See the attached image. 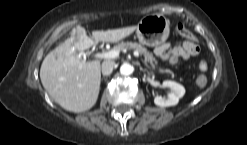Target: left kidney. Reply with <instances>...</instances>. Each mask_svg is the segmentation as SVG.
Segmentation results:
<instances>
[{
    "label": "left kidney",
    "instance_id": "5707ae66",
    "mask_svg": "<svg viewBox=\"0 0 247 145\" xmlns=\"http://www.w3.org/2000/svg\"><path fill=\"white\" fill-rule=\"evenodd\" d=\"M162 85L164 87L170 88L171 92L168 94L167 98L156 96L154 98V103L160 107L177 105L179 99L182 98L185 94V88L181 84L170 80L163 81Z\"/></svg>",
    "mask_w": 247,
    "mask_h": 145
}]
</instances>
